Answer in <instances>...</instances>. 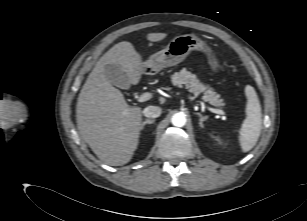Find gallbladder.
<instances>
[{"label":"gallbladder","instance_id":"gallbladder-1","mask_svg":"<svg viewBox=\"0 0 307 221\" xmlns=\"http://www.w3.org/2000/svg\"><path fill=\"white\" fill-rule=\"evenodd\" d=\"M104 73L107 80L120 88L127 89L130 86L129 80L126 74L117 65H106L104 68Z\"/></svg>","mask_w":307,"mask_h":221}]
</instances>
